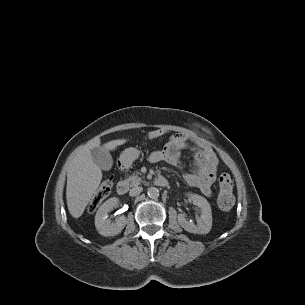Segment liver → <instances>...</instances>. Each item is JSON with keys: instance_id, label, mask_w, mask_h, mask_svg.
I'll list each match as a JSON object with an SVG mask.
<instances>
[{"instance_id": "6515ba94", "label": "liver", "mask_w": 305, "mask_h": 305, "mask_svg": "<svg viewBox=\"0 0 305 305\" xmlns=\"http://www.w3.org/2000/svg\"><path fill=\"white\" fill-rule=\"evenodd\" d=\"M127 142V139H116L105 143L107 150H115ZM100 139L95 137L76 149L75 155L67 170L66 200L69 213L79 218L102 180V171L94 163L91 149L100 146Z\"/></svg>"}]
</instances>
